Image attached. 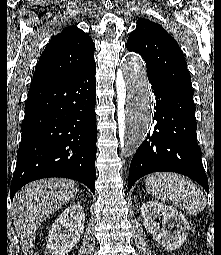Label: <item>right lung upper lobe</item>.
Masks as SVG:
<instances>
[{"mask_svg": "<svg viewBox=\"0 0 221 255\" xmlns=\"http://www.w3.org/2000/svg\"><path fill=\"white\" fill-rule=\"evenodd\" d=\"M92 38L69 26L54 36L40 56L30 88L53 83L77 74L94 60Z\"/></svg>", "mask_w": 221, "mask_h": 255, "instance_id": "cb5924a9", "label": "right lung upper lobe"}]
</instances>
